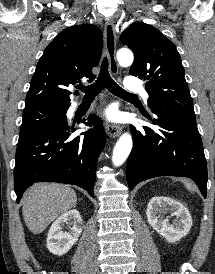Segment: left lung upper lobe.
Segmentation results:
<instances>
[{"mask_svg":"<svg viewBox=\"0 0 215 274\" xmlns=\"http://www.w3.org/2000/svg\"><path fill=\"white\" fill-rule=\"evenodd\" d=\"M121 42L134 52L130 74L147 81L150 107L195 114L180 55L169 39L152 25L132 23L121 34Z\"/></svg>","mask_w":215,"mask_h":274,"instance_id":"obj_1","label":"left lung upper lobe"}]
</instances>
